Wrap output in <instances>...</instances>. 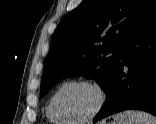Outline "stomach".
<instances>
[{"label": "stomach", "instance_id": "0dacf381", "mask_svg": "<svg viewBox=\"0 0 156 124\" xmlns=\"http://www.w3.org/2000/svg\"><path fill=\"white\" fill-rule=\"evenodd\" d=\"M107 124H129L128 121L123 117V115H117L112 121Z\"/></svg>", "mask_w": 156, "mask_h": 124}]
</instances>
